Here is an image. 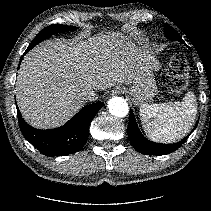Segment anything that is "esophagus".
<instances>
[{
    "label": "esophagus",
    "instance_id": "1",
    "mask_svg": "<svg viewBox=\"0 0 211 211\" xmlns=\"http://www.w3.org/2000/svg\"><path fill=\"white\" fill-rule=\"evenodd\" d=\"M122 87L121 86H116L112 91V95H118V94H121L122 93Z\"/></svg>",
    "mask_w": 211,
    "mask_h": 211
}]
</instances>
